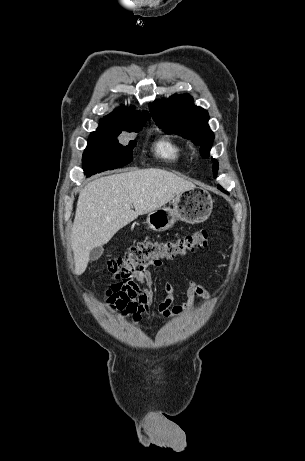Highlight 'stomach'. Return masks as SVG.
I'll use <instances>...</instances> for the list:
<instances>
[{
  "mask_svg": "<svg viewBox=\"0 0 305 461\" xmlns=\"http://www.w3.org/2000/svg\"><path fill=\"white\" fill-rule=\"evenodd\" d=\"M213 209V200L208 191L192 188L181 192L173 201V209L160 207L148 213L144 222L149 229L161 232L173 227L177 220L189 224L202 223Z\"/></svg>",
  "mask_w": 305,
  "mask_h": 461,
  "instance_id": "obj_1",
  "label": "stomach"
}]
</instances>
